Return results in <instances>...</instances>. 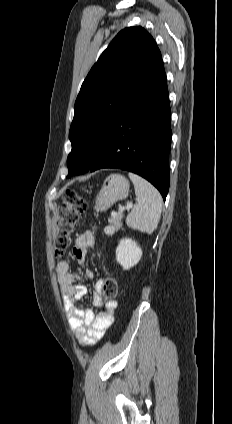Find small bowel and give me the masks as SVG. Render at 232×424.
<instances>
[{
  "label": "small bowel",
  "mask_w": 232,
  "mask_h": 424,
  "mask_svg": "<svg viewBox=\"0 0 232 424\" xmlns=\"http://www.w3.org/2000/svg\"><path fill=\"white\" fill-rule=\"evenodd\" d=\"M94 245V237L90 233L80 235L73 247V257L78 263H84L87 251ZM93 278L91 271L86 272ZM56 277L60 288L64 311L67 314L71 330L81 346H93L113 324L115 302H104L101 296L103 280L98 279L92 295V304L104 309L95 313L93 310L78 304L88 292V288L76 283L81 278L78 272L72 271L67 261H60L56 266Z\"/></svg>",
  "instance_id": "small-bowel-1"
}]
</instances>
